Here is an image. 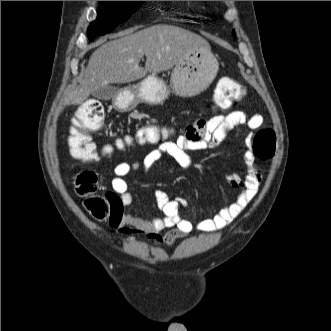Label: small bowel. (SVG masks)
Wrapping results in <instances>:
<instances>
[{
	"label": "small bowel",
	"mask_w": 331,
	"mask_h": 331,
	"mask_svg": "<svg viewBox=\"0 0 331 331\" xmlns=\"http://www.w3.org/2000/svg\"><path fill=\"white\" fill-rule=\"evenodd\" d=\"M263 124L261 114L247 115L243 111H233L225 114H218L209 119H199L185 127L175 141H163L149 152L144 158L132 163L121 162L114 168V175L111 181L113 191L119 196L123 206H129L133 197L128 189L125 176L140 169L148 172L153 164L164 156L171 157L181 166L190 165V157L187 151L209 150L217 148L226 134L237 126H246L250 130H256ZM252 134L248 133L245 142L251 144ZM254 153L246 151L244 161L246 175L241 177L236 174L227 177L228 183L239 189L236 199L229 205L222 207L215 215L202 217L196 225L190 220L183 218L181 210L188 207L185 198L171 199L164 191H156L155 197L158 205L163 211L162 217L146 219L131 213H124L118 219L119 232L126 236L144 234L157 241H164L171 245L177 239L182 238L194 229L200 232H216L231 224L247 207L255 197L261 176L254 165ZM164 229H171L164 237L159 232Z\"/></svg>",
	"instance_id": "obj_1"
}]
</instances>
